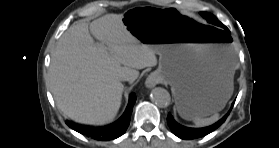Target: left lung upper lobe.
<instances>
[{"instance_id":"obj_1","label":"left lung upper lobe","mask_w":279,"mask_h":148,"mask_svg":"<svg viewBox=\"0 0 279 148\" xmlns=\"http://www.w3.org/2000/svg\"><path fill=\"white\" fill-rule=\"evenodd\" d=\"M209 23L227 29L214 15L207 12L200 13Z\"/></svg>"}]
</instances>
